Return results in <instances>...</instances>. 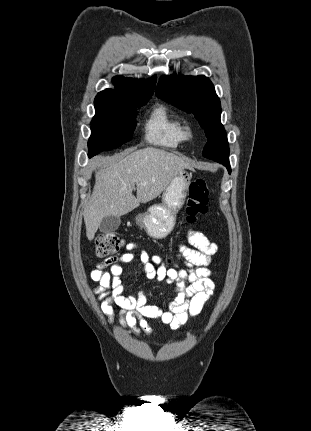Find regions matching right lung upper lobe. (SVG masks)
Masks as SVG:
<instances>
[{
	"label": "right lung upper lobe",
	"mask_w": 311,
	"mask_h": 431,
	"mask_svg": "<svg viewBox=\"0 0 311 431\" xmlns=\"http://www.w3.org/2000/svg\"><path fill=\"white\" fill-rule=\"evenodd\" d=\"M112 81L115 85V90L106 89L99 92L97 96L116 98L151 97L156 82V76L147 81L116 76Z\"/></svg>",
	"instance_id": "right-lung-upper-lobe-1"
}]
</instances>
